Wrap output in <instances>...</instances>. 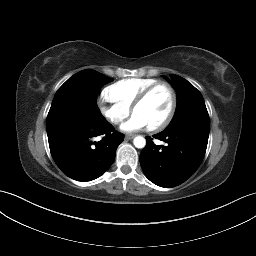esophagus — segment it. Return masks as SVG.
Here are the masks:
<instances>
[{
    "instance_id": "1",
    "label": "esophagus",
    "mask_w": 256,
    "mask_h": 256,
    "mask_svg": "<svg viewBox=\"0 0 256 256\" xmlns=\"http://www.w3.org/2000/svg\"><path fill=\"white\" fill-rule=\"evenodd\" d=\"M134 137H135L134 134H129V135H126V136H125V139H126V140H131V139H133Z\"/></svg>"
}]
</instances>
